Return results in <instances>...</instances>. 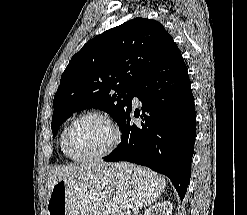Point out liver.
<instances>
[{"label":"liver","instance_id":"6515ba94","mask_svg":"<svg viewBox=\"0 0 247 215\" xmlns=\"http://www.w3.org/2000/svg\"><path fill=\"white\" fill-rule=\"evenodd\" d=\"M109 164L104 162L82 163L80 165H67L51 169L48 175V197L53 186L62 179L70 183H79L86 180L90 175L105 168Z\"/></svg>","mask_w":247,"mask_h":215}]
</instances>
